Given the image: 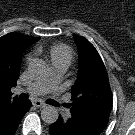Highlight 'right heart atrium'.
<instances>
[{"label": "right heart atrium", "instance_id": "1", "mask_svg": "<svg viewBox=\"0 0 135 135\" xmlns=\"http://www.w3.org/2000/svg\"><path fill=\"white\" fill-rule=\"evenodd\" d=\"M31 59H32V56L31 55H28L27 57H26V62H30L31 61Z\"/></svg>", "mask_w": 135, "mask_h": 135}]
</instances>
